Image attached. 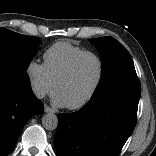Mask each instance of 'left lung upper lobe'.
Segmentation results:
<instances>
[{"instance_id": "1", "label": "left lung upper lobe", "mask_w": 156, "mask_h": 156, "mask_svg": "<svg viewBox=\"0 0 156 156\" xmlns=\"http://www.w3.org/2000/svg\"><path fill=\"white\" fill-rule=\"evenodd\" d=\"M91 41L102 57L101 79L92 98L115 91L140 95V82L126 48L112 37L95 38Z\"/></svg>"}]
</instances>
